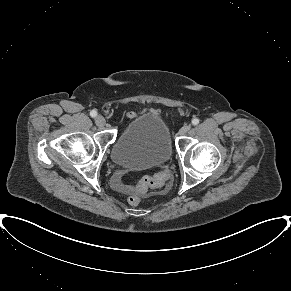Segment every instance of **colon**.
<instances>
[{
    "label": "colon",
    "mask_w": 291,
    "mask_h": 291,
    "mask_svg": "<svg viewBox=\"0 0 291 291\" xmlns=\"http://www.w3.org/2000/svg\"><path fill=\"white\" fill-rule=\"evenodd\" d=\"M169 173L167 171H161L153 176L144 177L136 187L137 191L144 192L150 188L161 187L168 179ZM129 203L132 206H138L141 203V198L138 196H131Z\"/></svg>",
    "instance_id": "5ec220e1"
}]
</instances>
